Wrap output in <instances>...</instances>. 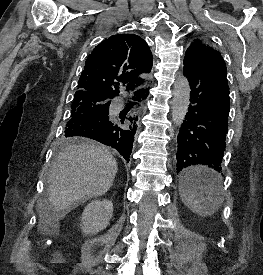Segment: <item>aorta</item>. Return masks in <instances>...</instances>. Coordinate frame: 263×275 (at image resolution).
<instances>
[{
    "label": "aorta",
    "instance_id": "762f6f07",
    "mask_svg": "<svg viewBox=\"0 0 263 275\" xmlns=\"http://www.w3.org/2000/svg\"><path fill=\"white\" fill-rule=\"evenodd\" d=\"M190 100L189 81L183 75L176 78L174 83L172 101V122L175 126H180L186 116Z\"/></svg>",
    "mask_w": 263,
    "mask_h": 275
}]
</instances>
